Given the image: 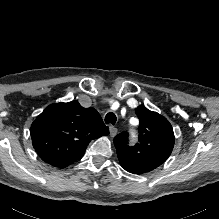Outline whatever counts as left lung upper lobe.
<instances>
[{"mask_svg":"<svg viewBox=\"0 0 219 219\" xmlns=\"http://www.w3.org/2000/svg\"><path fill=\"white\" fill-rule=\"evenodd\" d=\"M139 118V138L135 146H128V133L114 138L117 155L122 167L133 174L148 173L170 156L175 138L173 128L166 118L140 105L136 109Z\"/></svg>","mask_w":219,"mask_h":219,"instance_id":"left-lung-upper-lobe-1","label":"left lung upper lobe"}]
</instances>
